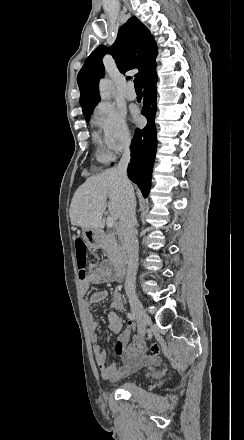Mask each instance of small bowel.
<instances>
[{"instance_id":"1","label":"small bowel","mask_w":244,"mask_h":440,"mask_svg":"<svg viewBox=\"0 0 244 440\" xmlns=\"http://www.w3.org/2000/svg\"><path fill=\"white\" fill-rule=\"evenodd\" d=\"M123 275L117 273L112 265L102 263L96 269L90 271L86 277L80 281L79 289L81 294H87L91 285L104 283H121ZM108 296L106 290H99L93 292L90 297L83 301L82 311L85 324L88 328L90 339L93 343V354L100 375L104 380L120 381L138 369L149 365L155 361V357L148 354L147 348L142 341L132 340L133 329L129 324L123 331V323L121 320L115 319L111 323V329L120 333L115 346L114 352L121 360V365L107 364V355L105 349L98 344L97 330L99 322L96 320L91 305L97 304L105 300ZM111 308L121 312L123 310L124 302L121 291L115 288L111 291Z\"/></svg>"}]
</instances>
